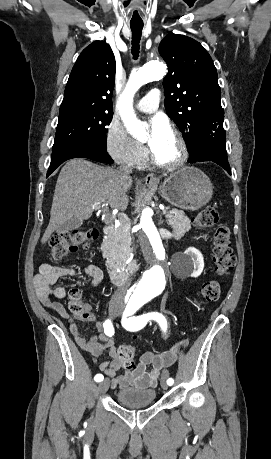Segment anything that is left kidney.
Here are the masks:
<instances>
[{
	"label": "left kidney",
	"mask_w": 271,
	"mask_h": 459,
	"mask_svg": "<svg viewBox=\"0 0 271 459\" xmlns=\"http://www.w3.org/2000/svg\"><path fill=\"white\" fill-rule=\"evenodd\" d=\"M186 259L189 261L188 273L191 277H198L203 271L204 257L196 247H188L185 251Z\"/></svg>",
	"instance_id": "1"
}]
</instances>
